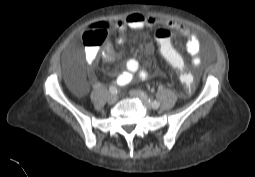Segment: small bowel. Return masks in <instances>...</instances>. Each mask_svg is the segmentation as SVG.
Returning <instances> with one entry per match:
<instances>
[{"instance_id":"small-bowel-1","label":"small bowel","mask_w":255,"mask_h":177,"mask_svg":"<svg viewBox=\"0 0 255 177\" xmlns=\"http://www.w3.org/2000/svg\"><path fill=\"white\" fill-rule=\"evenodd\" d=\"M153 26H165L178 31L186 39V52L191 57L193 66L198 65L200 53V41L198 37L189 27L163 17L135 13L118 20L116 22V28L121 34L117 37L116 42L118 44H123L126 41L124 32L128 29L142 30ZM148 48L152 49L153 46L149 45ZM98 54L96 48H89L86 52L87 61L94 63L98 58ZM102 56L107 61H112L116 57V51L111 43L105 45ZM147 78L148 73L141 68L139 60L136 58H129L125 63V69L116 76L115 81L117 85L124 86L135 79L142 81Z\"/></svg>"}]
</instances>
